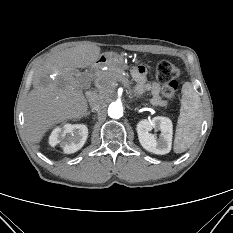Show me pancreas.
I'll use <instances>...</instances> for the list:
<instances>
[{
    "label": "pancreas",
    "instance_id": "1",
    "mask_svg": "<svg viewBox=\"0 0 233 233\" xmlns=\"http://www.w3.org/2000/svg\"><path fill=\"white\" fill-rule=\"evenodd\" d=\"M96 80L104 90H111L116 82H122L125 86L129 84V81L123 75V70L115 67L98 72Z\"/></svg>",
    "mask_w": 233,
    "mask_h": 233
}]
</instances>
